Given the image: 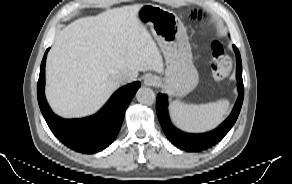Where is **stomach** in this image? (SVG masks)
<instances>
[{
	"mask_svg": "<svg viewBox=\"0 0 292 184\" xmlns=\"http://www.w3.org/2000/svg\"><path fill=\"white\" fill-rule=\"evenodd\" d=\"M145 8L141 9L140 12L142 13L144 11ZM141 18L142 15H140ZM148 24L152 25L154 27V33H155V36L161 41L163 42L165 39H166V34H165V31L162 29V28H159V27H156L155 26V23H154V20H148L147 21ZM184 72H185V75L186 77H188L187 79H194V80H197L198 78V73L196 71V69L194 68V66L192 65L191 62H189V60L186 61L185 65H184ZM193 80V81H194Z\"/></svg>",
	"mask_w": 292,
	"mask_h": 184,
	"instance_id": "obj_1",
	"label": "stomach"
}]
</instances>
